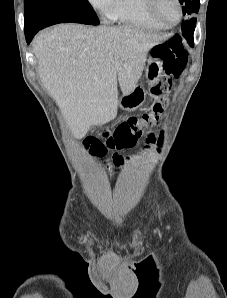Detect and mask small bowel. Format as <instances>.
<instances>
[{"instance_id":"c3829d8e","label":"small bowel","mask_w":227,"mask_h":298,"mask_svg":"<svg viewBox=\"0 0 227 298\" xmlns=\"http://www.w3.org/2000/svg\"><path fill=\"white\" fill-rule=\"evenodd\" d=\"M88 139H81L80 143L84 144L85 147H88L89 158H107L108 154L107 151L109 150V147L107 146V143L105 142V139H93V134L87 135ZM150 142L152 141V137H150ZM98 151V153H97ZM125 163V159L123 156L119 154H113L107 162V168H108V178L113 179L115 176V169H121L123 168Z\"/></svg>"}]
</instances>
